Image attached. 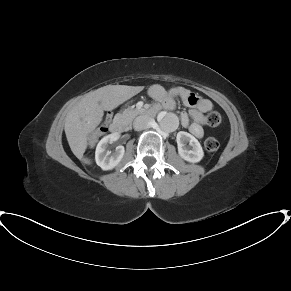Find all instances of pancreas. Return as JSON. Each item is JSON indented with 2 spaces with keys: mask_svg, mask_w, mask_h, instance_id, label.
Listing matches in <instances>:
<instances>
[{
  "mask_svg": "<svg viewBox=\"0 0 291 291\" xmlns=\"http://www.w3.org/2000/svg\"><path fill=\"white\" fill-rule=\"evenodd\" d=\"M142 113H143L142 110H139L134 107H128L122 113H120L119 116L125 122H132L137 115Z\"/></svg>",
  "mask_w": 291,
  "mask_h": 291,
  "instance_id": "cf45deb5",
  "label": "pancreas"
}]
</instances>
